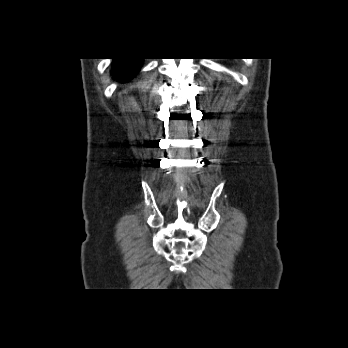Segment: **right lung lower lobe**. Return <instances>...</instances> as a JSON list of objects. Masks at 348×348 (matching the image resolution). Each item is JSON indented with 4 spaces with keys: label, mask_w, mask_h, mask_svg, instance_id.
I'll use <instances>...</instances> for the list:
<instances>
[{
    "label": "right lung lower lobe",
    "mask_w": 348,
    "mask_h": 348,
    "mask_svg": "<svg viewBox=\"0 0 348 348\" xmlns=\"http://www.w3.org/2000/svg\"><path fill=\"white\" fill-rule=\"evenodd\" d=\"M141 63L142 59L140 58L114 59L113 76L117 80L125 82L139 71Z\"/></svg>",
    "instance_id": "98d812e1"
}]
</instances>
